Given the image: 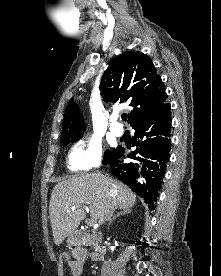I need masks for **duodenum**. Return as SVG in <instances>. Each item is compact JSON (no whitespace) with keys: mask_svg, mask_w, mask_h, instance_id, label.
I'll return each mask as SVG.
<instances>
[{"mask_svg":"<svg viewBox=\"0 0 221 276\" xmlns=\"http://www.w3.org/2000/svg\"><path fill=\"white\" fill-rule=\"evenodd\" d=\"M90 237L89 234H80L78 235V242L79 244H81L82 242H84L85 240H87ZM92 237L98 241L100 240V235L99 234H93ZM105 246L97 243L96 248H95V254L101 259L102 258V254L105 252Z\"/></svg>","mask_w":221,"mask_h":276,"instance_id":"410a0bca","label":"duodenum"}]
</instances>
